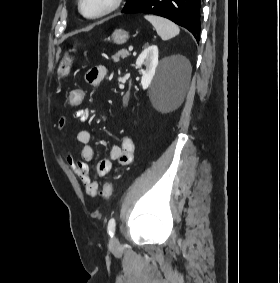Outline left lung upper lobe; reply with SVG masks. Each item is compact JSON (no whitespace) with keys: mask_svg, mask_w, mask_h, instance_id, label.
Wrapping results in <instances>:
<instances>
[{"mask_svg":"<svg viewBox=\"0 0 280 283\" xmlns=\"http://www.w3.org/2000/svg\"><path fill=\"white\" fill-rule=\"evenodd\" d=\"M137 0H126V5L123 10L129 8L131 5H133Z\"/></svg>","mask_w":280,"mask_h":283,"instance_id":"5c2ea615","label":"left lung upper lobe"}]
</instances>
